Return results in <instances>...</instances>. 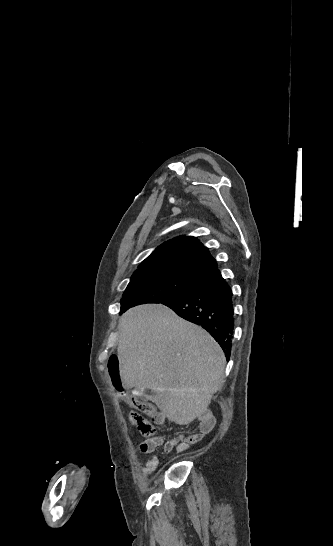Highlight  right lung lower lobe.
<instances>
[{"label":"right lung lower lobe","mask_w":333,"mask_h":546,"mask_svg":"<svg viewBox=\"0 0 333 546\" xmlns=\"http://www.w3.org/2000/svg\"><path fill=\"white\" fill-rule=\"evenodd\" d=\"M161 303L206 329L229 359L234 331L232 291L218 269L205 276L190 292Z\"/></svg>","instance_id":"obj_1"}]
</instances>
